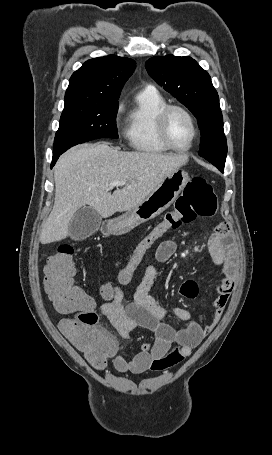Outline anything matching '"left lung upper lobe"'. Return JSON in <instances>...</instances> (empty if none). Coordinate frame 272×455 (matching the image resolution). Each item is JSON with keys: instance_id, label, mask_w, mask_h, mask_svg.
Listing matches in <instances>:
<instances>
[{"instance_id": "obj_1", "label": "left lung upper lobe", "mask_w": 272, "mask_h": 455, "mask_svg": "<svg viewBox=\"0 0 272 455\" xmlns=\"http://www.w3.org/2000/svg\"><path fill=\"white\" fill-rule=\"evenodd\" d=\"M145 66L148 74L197 118L201 130L199 155L205 159L227 155L219 97L209 74L188 56H156Z\"/></svg>"}]
</instances>
